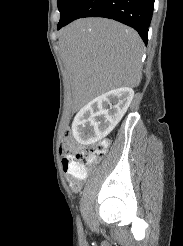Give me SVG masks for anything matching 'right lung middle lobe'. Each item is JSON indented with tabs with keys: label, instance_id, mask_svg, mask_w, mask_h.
Listing matches in <instances>:
<instances>
[{
	"label": "right lung middle lobe",
	"instance_id": "dd1d6c3e",
	"mask_svg": "<svg viewBox=\"0 0 183 246\" xmlns=\"http://www.w3.org/2000/svg\"><path fill=\"white\" fill-rule=\"evenodd\" d=\"M79 2V0H58V9L60 11V23L66 21L71 15L74 7Z\"/></svg>",
	"mask_w": 183,
	"mask_h": 246
}]
</instances>
